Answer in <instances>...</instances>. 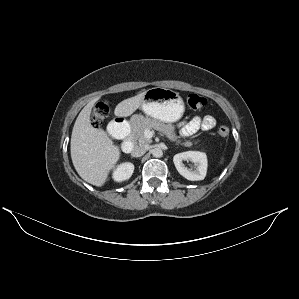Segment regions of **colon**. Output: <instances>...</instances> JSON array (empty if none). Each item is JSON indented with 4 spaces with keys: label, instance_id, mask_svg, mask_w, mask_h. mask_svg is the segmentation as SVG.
<instances>
[{
    "label": "colon",
    "instance_id": "5ec220e1",
    "mask_svg": "<svg viewBox=\"0 0 299 299\" xmlns=\"http://www.w3.org/2000/svg\"><path fill=\"white\" fill-rule=\"evenodd\" d=\"M186 103L190 109L200 110L205 107L206 99L196 93H190L186 96ZM108 114H109L108 103L106 102L98 103L92 115L93 126L96 128L100 127L103 121L107 118ZM218 133L221 137H227L230 133V129L227 126L223 125L219 127Z\"/></svg>",
    "mask_w": 299,
    "mask_h": 299
}]
</instances>
